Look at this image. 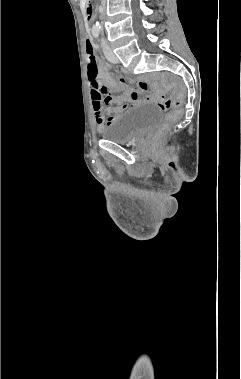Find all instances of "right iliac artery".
Here are the masks:
<instances>
[{"label":"right iliac artery","mask_w":241,"mask_h":379,"mask_svg":"<svg viewBox=\"0 0 241 379\" xmlns=\"http://www.w3.org/2000/svg\"><path fill=\"white\" fill-rule=\"evenodd\" d=\"M99 33H100V29H99V28L94 27V28L92 29V34H93V36H94L95 38H97V37L99 36Z\"/></svg>","instance_id":"obj_1"}]
</instances>
